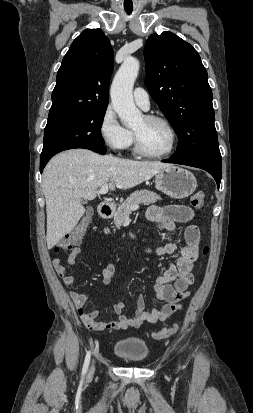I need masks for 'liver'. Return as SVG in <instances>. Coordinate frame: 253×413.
<instances>
[{
  "label": "liver",
  "mask_w": 253,
  "mask_h": 413,
  "mask_svg": "<svg viewBox=\"0 0 253 413\" xmlns=\"http://www.w3.org/2000/svg\"><path fill=\"white\" fill-rule=\"evenodd\" d=\"M171 166L169 163L101 156L87 149L67 150L54 156L42 176L48 249L78 224L85 213L82 198L95 199L97 189L104 184H109L111 190L132 188Z\"/></svg>",
  "instance_id": "obj_1"
}]
</instances>
